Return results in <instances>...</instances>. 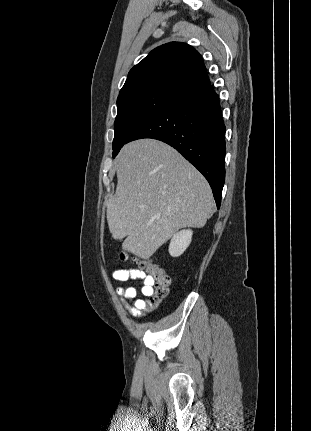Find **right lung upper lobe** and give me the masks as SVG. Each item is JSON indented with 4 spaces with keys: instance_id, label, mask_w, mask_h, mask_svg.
I'll list each match as a JSON object with an SVG mask.
<instances>
[{
    "instance_id": "right-lung-upper-lobe-1",
    "label": "right lung upper lobe",
    "mask_w": 311,
    "mask_h": 431,
    "mask_svg": "<svg viewBox=\"0 0 311 431\" xmlns=\"http://www.w3.org/2000/svg\"><path fill=\"white\" fill-rule=\"evenodd\" d=\"M209 84L200 54L186 43L170 42L152 50L130 70L119 95L155 88L182 96Z\"/></svg>"
}]
</instances>
